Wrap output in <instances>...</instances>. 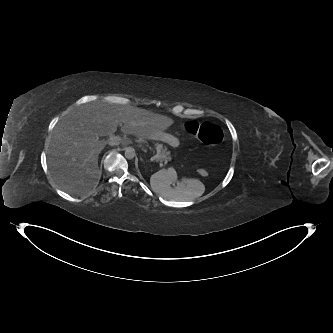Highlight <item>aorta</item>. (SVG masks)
<instances>
[{"label": "aorta", "mask_w": 333, "mask_h": 333, "mask_svg": "<svg viewBox=\"0 0 333 333\" xmlns=\"http://www.w3.org/2000/svg\"><path fill=\"white\" fill-rule=\"evenodd\" d=\"M135 156H136V152H135L134 148H132V147L126 148V150H125V157L127 159H133Z\"/></svg>", "instance_id": "1"}]
</instances>
